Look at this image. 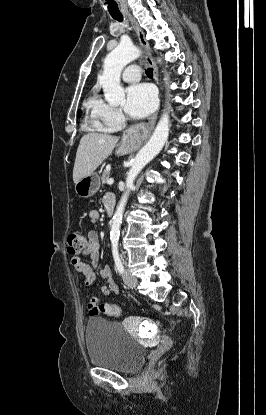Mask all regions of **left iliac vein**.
I'll use <instances>...</instances> for the list:
<instances>
[{"label": "left iliac vein", "mask_w": 266, "mask_h": 415, "mask_svg": "<svg viewBox=\"0 0 266 415\" xmlns=\"http://www.w3.org/2000/svg\"><path fill=\"white\" fill-rule=\"evenodd\" d=\"M123 280L125 284L131 288L134 289L137 286L138 280L135 276H133L130 272L125 271L123 273Z\"/></svg>", "instance_id": "1"}]
</instances>
